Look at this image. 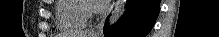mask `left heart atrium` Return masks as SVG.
<instances>
[{
    "instance_id": "obj_1",
    "label": "left heart atrium",
    "mask_w": 219,
    "mask_h": 37,
    "mask_svg": "<svg viewBox=\"0 0 219 37\" xmlns=\"http://www.w3.org/2000/svg\"><path fill=\"white\" fill-rule=\"evenodd\" d=\"M94 4L97 8H104L105 4H107L106 0H95Z\"/></svg>"
}]
</instances>
